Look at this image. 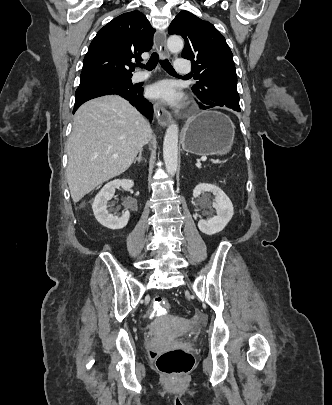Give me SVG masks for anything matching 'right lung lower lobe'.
<instances>
[{
	"mask_svg": "<svg viewBox=\"0 0 332 405\" xmlns=\"http://www.w3.org/2000/svg\"><path fill=\"white\" fill-rule=\"evenodd\" d=\"M117 94L128 100L137 110L150 120L153 115L152 104L143 97V88L141 87H127L112 83H95L82 87H78L75 93V111L86 101L107 95Z\"/></svg>",
	"mask_w": 332,
	"mask_h": 405,
	"instance_id": "right-lung-lower-lobe-1",
	"label": "right lung lower lobe"
}]
</instances>
